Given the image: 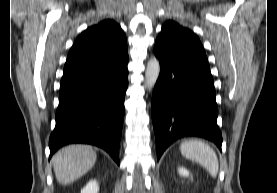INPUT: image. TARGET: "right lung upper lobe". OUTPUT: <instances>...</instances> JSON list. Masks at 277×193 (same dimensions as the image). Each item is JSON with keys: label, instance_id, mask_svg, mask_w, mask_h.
Segmentation results:
<instances>
[{"label": "right lung upper lobe", "instance_id": "cb5924a9", "mask_svg": "<svg viewBox=\"0 0 277 193\" xmlns=\"http://www.w3.org/2000/svg\"><path fill=\"white\" fill-rule=\"evenodd\" d=\"M127 52V41L121 27L113 20H103L77 37L68 53L63 76L98 69Z\"/></svg>", "mask_w": 277, "mask_h": 193}]
</instances>
